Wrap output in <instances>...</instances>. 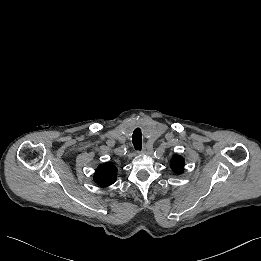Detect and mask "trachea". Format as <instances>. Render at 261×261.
Masks as SVG:
<instances>
[{
  "label": "trachea",
  "instance_id": "trachea-1",
  "mask_svg": "<svg viewBox=\"0 0 261 261\" xmlns=\"http://www.w3.org/2000/svg\"><path fill=\"white\" fill-rule=\"evenodd\" d=\"M132 143H133L135 150H141L142 149V133H141L140 128H136L133 131Z\"/></svg>",
  "mask_w": 261,
  "mask_h": 261
}]
</instances>
